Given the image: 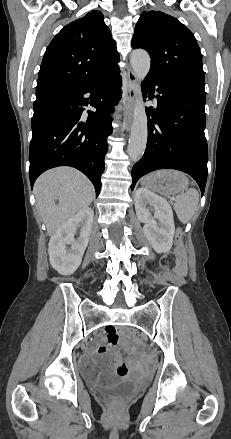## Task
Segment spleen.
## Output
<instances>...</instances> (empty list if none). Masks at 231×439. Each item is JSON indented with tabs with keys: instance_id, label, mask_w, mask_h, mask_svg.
I'll list each match as a JSON object with an SVG mask.
<instances>
[{
	"instance_id": "spleen-1",
	"label": "spleen",
	"mask_w": 231,
	"mask_h": 439,
	"mask_svg": "<svg viewBox=\"0 0 231 439\" xmlns=\"http://www.w3.org/2000/svg\"><path fill=\"white\" fill-rule=\"evenodd\" d=\"M199 202L198 191L194 188L187 189L177 195L174 202V210L182 223L189 222L194 216Z\"/></svg>"
}]
</instances>
